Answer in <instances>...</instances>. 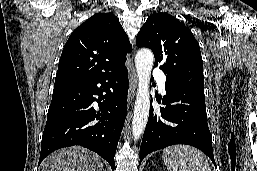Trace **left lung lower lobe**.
Returning a JSON list of instances; mask_svg holds the SVG:
<instances>
[{
  "label": "left lung lower lobe",
  "mask_w": 257,
  "mask_h": 171,
  "mask_svg": "<svg viewBox=\"0 0 257 171\" xmlns=\"http://www.w3.org/2000/svg\"><path fill=\"white\" fill-rule=\"evenodd\" d=\"M165 90L166 96L162 99L165 107H160V113L150 109L140 162L152 151L187 144L202 150L215 164L204 93L169 78Z\"/></svg>",
  "instance_id": "1"
}]
</instances>
